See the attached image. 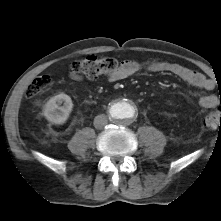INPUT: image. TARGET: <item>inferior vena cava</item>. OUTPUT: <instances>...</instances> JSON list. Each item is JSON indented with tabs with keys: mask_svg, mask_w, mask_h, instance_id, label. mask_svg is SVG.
<instances>
[{
	"mask_svg": "<svg viewBox=\"0 0 221 221\" xmlns=\"http://www.w3.org/2000/svg\"><path fill=\"white\" fill-rule=\"evenodd\" d=\"M108 124V119L104 114L97 115L94 118V127L96 129H101Z\"/></svg>",
	"mask_w": 221,
	"mask_h": 221,
	"instance_id": "602c4592",
	"label": "inferior vena cava"
}]
</instances>
